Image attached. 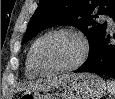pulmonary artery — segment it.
Wrapping results in <instances>:
<instances>
[{"label": "pulmonary artery", "instance_id": "pulmonary-artery-1", "mask_svg": "<svg viewBox=\"0 0 115 99\" xmlns=\"http://www.w3.org/2000/svg\"><path fill=\"white\" fill-rule=\"evenodd\" d=\"M102 18H103L104 20H106L109 25H112V20H111V18H109L108 16H105V15H104Z\"/></svg>", "mask_w": 115, "mask_h": 99}]
</instances>
